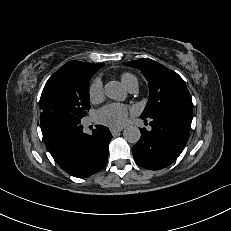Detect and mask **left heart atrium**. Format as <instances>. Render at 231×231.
I'll use <instances>...</instances> for the list:
<instances>
[{
    "label": "left heart atrium",
    "instance_id": "left-heart-atrium-1",
    "mask_svg": "<svg viewBox=\"0 0 231 231\" xmlns=\"http://www.w3.org/2000/svg\"><path fill=\"white\" fill-rule=\"evenodd\" d=\"M128 115V107L118 103H110L98 111L96 118L99 123L118 129L127 123Z\"/></svg>",
    "mask_w": 231,
    "mask_h": 231
}]
</instances>
